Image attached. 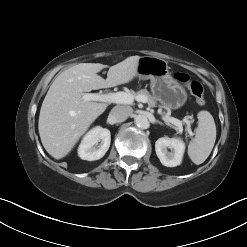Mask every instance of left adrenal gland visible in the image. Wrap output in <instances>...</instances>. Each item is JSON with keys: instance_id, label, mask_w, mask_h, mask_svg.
<instances>
[{"instance_id": "obj_1", "label": "left adrenal gland", "mask_w": 247, "mask_h": 247, "mask_svg": "<svg viewBox=\"0 0 247 247\" xmlns=\"http://www.w3.org/2000/svg\"><path fill=\"white\" fill-rule=\"evenodd\" d=\"M157 123H159L160 125H164L161 121L157 120Z\"/></svg>"}]
</instances>
